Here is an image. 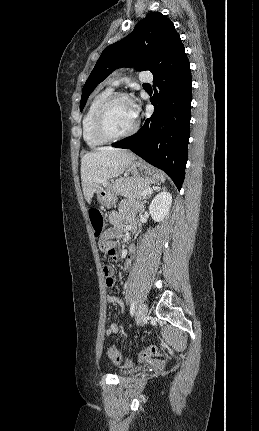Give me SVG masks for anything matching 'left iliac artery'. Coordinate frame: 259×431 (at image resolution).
Returning <instances> with one entry per match:
<instances>
[{
    "label": "left iliac artery",
    "instance_id": "left-iliac-artery-1",
    "mask_svg": "<svg viewBox=\"0 0 259 431\" xmlns=\"http://www.w3.org/2000/svg\"><path fill=\"white\" fill-rule=\"evenodd\" d=\"M134 313H135V304H134V302H132L131 305H130V314H131V316H133Z\"/></svg>",
    "mask_w": 259,
    "mask_h": 431
}]
</instances>
